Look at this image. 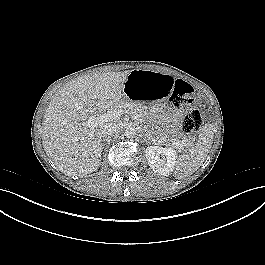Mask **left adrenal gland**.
<instances>
[{"label": "left adrenal gland", "instance_id": "1", "mask_svg": "<svg viewBox=\"0 0 265 265\" xmlns=\"http://www.w3.org/2000/svg\"><path fill=\"white\" fill-rule=\"evenodd\" d=\"M144 140H145L146 143H150V142H147V139L146 138Z\"/></svg>", "mask_w": 265, "mask_h": 265}]
</instances>
